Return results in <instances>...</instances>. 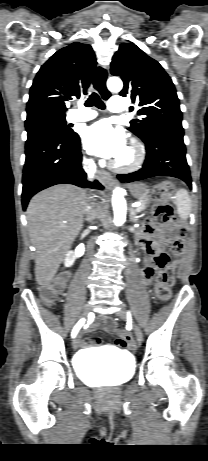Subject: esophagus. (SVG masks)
Instances as JSON below:
<instances>
[{
  "label": "esophagus",
  "instance_id": "esophagus-1",
  "mask_svg": "<svg viewBox=\"0 0 208 461\" xmlns=\"http://www.w3.org/2000/svg\"><path fill=\"white\" fill-rule=\"evenodd\" d=\"M105 71H106V80H105V84H106L107 78L109 77V68L106 67ZM98 176H99V179L102 181V183L107 188H111L115 184V179L108 172L104 170H99Z\"/></svg>",
  "mask_w": 208,
  "mask_h": 461
}]
</instances>
